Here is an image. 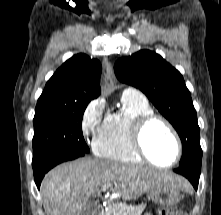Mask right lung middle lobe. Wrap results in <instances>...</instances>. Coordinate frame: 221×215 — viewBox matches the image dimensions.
<instances>
[{"instance_id": "obj_1", "label": "right lung middle lobe", "mask_w": 221, "mask_h": 215, "mask_svg": "<svg viewBox=\"0 0 221 215\" xmlns=\"http://www.w3.org/2000/svg\"><path fill=\"white\" fill-rule=\"evenodd\" d=\"M87 105L53 102L37 104L33 120L32 166L56 154L89 153L82 134V118Z\"/></svg>"}]
</instances>
